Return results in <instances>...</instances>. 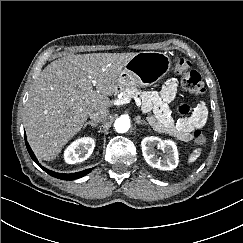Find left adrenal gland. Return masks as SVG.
Returning <instances> with one entry per match:
<instances>
[{"label": "left adrenal gland", "mask_w": 243, "mask_h": 243, "mask_svg": "<svg viewBox=\"0 0 243 243\" xmlns=\"http://www.w3.org/2000/svg\"><path fill=\"white\" fill-rule=\"evenodd\" d=\"M135 120H136V123H137V124H146V125H147V122L144 121V120H141V117H140V116H137V117L135 118Z\"/></svg>", "instance_id": "left-adrenal-gland-1"}]
</instances>
